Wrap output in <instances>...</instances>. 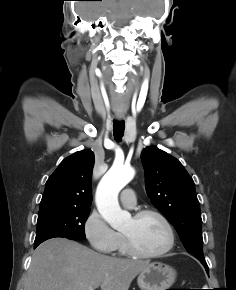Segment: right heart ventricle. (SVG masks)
Here are the masks:
<instances>
[{
	"label": "right heart ventricle",
	"instance_id": "e07e8e85",
	"mask_svg": "<svg viewBox=\"0 0 236 290\" xmlns=\"http://www.w3.org/2000/svg\"><path fill=\"white\" fill-rule=\"evenodd\" d=\"M116 250H118L120 252V254H123V255L127 253L126 248H125V244H124V241H123V238L121 235H120V240L118 242Z\"/></svg>",
	"mask_w": 236,
	"mask_h": 290
}]
</instances>
